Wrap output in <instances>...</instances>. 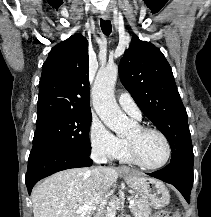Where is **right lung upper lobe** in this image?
I'll return each mask as SVG.
<instances>
[{
    "instance_id": "right-lung-upper-lobe-1",
    "label": "right lung upper lobe",
    "mask_w": 211,
    "mask_h": 217,
    "mask_svg": "<svg viewBox=\"0 0 211 217\" xmlns=\"http://www.w3.org/2000/svg\"><path fill=\"white\" fill-rule=\"evenodd\" d=\"M88 42L72 35L53 47L42 67L37 118L54 113H91Z\"/></svg>"
}]
</instances>
